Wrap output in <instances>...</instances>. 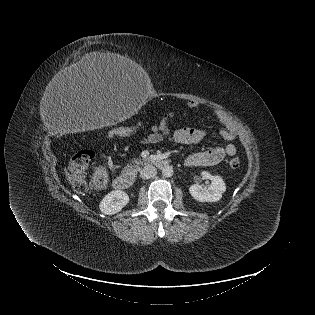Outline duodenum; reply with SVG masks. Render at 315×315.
<instances>
[{
  "label": "duodenum",
  "mask_w": 315,
  "mask_h": 315,
  "mask_svg": "<svg viewBox=\"0 0 315 315\" xmlns=\"http://www.w3.org/2000/svg\"><path fill=\"white\" fill-rule=\"evenodd\" d=\"M151 162L160 168H163L169 164L168 160L160 157L152 158ZM134 178V173L129 171L123 172L114 180V187L118 190L127 189L133 184Z\"/></svg>",
  "instance_id": "1"
}]
</instances>
